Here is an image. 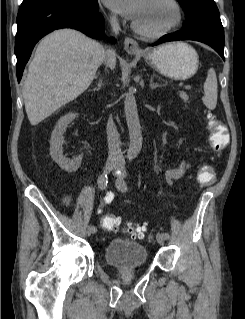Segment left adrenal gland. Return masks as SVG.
Listing matches in <instances>:
<instances>
[{
  "instance_id": "1",
  "label": "left adrenal gland",
  "mask_w": 245,
  "mask_h": 319,
  "mask_svg": "<svg viewBox=\"0 0 245 319\" xmlns=\"http://www.w3.org/2000/svg\"><path fill=\"white\" fill-rule=\"evenodd\" d=\"M154 77H155V75H153V76L151 77V79H150V87H151L152 89H154V88H156V87H162V84L154 83V82H153Z\"/></svg>"
}]
</instances>
